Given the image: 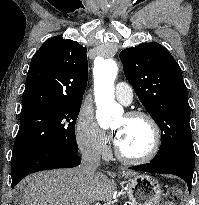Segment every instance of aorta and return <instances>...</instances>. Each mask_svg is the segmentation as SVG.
<instances>
[{
	"instance_id": "1",
	"label": "aorta",
	"mask_w": 199,
	"mask_h": 205,
	"mask_svg": "<svg viewBox=\"0 0 199 205\" xmlns=\"http://www.w3.org/2000/svg\"><path fill=\"white\" fill-rule=\"evenodd\" d=\"M117 72L118 66L113 59L101 60L94 67L96 118L100 126L109 124L113 116L122 113L121 106L114 100V81Z\"/></svg>"
}]
</instances>
